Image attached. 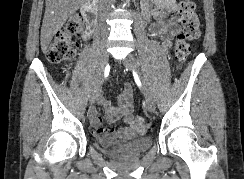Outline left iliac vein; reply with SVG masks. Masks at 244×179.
I'll list each match as a JSON object with an SVG mask.
<instances>
[{
  "instance_id": "1",
  "label": "left iliac vein",
  "mask_w": 244,
  "mask_h": 179,
  "mask_svg": "<svg viewBox=\"0 0 244 179\" xmlns=\"http://www.w3.org/2000/svg\"><path fill=\"white\" fill-rule=\"evenodd\" d=\"M122 63L125 66H127L128 68H130L131 70H133L136 73L141 75L139 68H138V63L133 55L129 54L125 59L122 60ZM142 92H143V95L145 98V103H146L147 109L150 112H154L155 107H156L155 97H154L153 91L146 79H143Z\"/></svg>"
}]
</instances>
